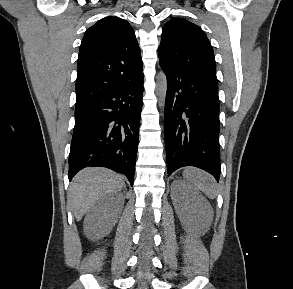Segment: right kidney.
Returning a JSON list of instances; mask_svg holds the SVG:
<instances>
[{"mask_svg": "<svg viewBox=\"0 0 293 289\" xmlns=\"http://www.w3.org/2000/svg\"><path fill=\"white\" fill-rule=\"evenodd\" d=\"M124 198L115 201L103 198L98 201L88 212L84 220V232L92 240H97L108 234L116 224Z\"/></svg>", "mask_w": 293, "mask_h": 289, "instance_id": "obj_1", "label": "right kidney"}]
</instances>
